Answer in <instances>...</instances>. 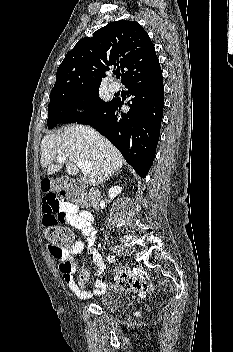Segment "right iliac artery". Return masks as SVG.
Segmentation results:
<instances>
[{
  "label": "right iliac artery",
  "mask_w": 233,
  "mask_h": 352,
  "mask_svg": "<svg viewBox=\"0 0 233 352\" xmlns=\"http://www.w3.org/2000/svg\"><path fill=\"white\" fill-rule=\"evenodd\" d=\"M107 261H108L109 263L114 262V261H115V256L109 255V256L107 257Z\"/></svg>",
  "instance_id": "1"
}]
</instances>
